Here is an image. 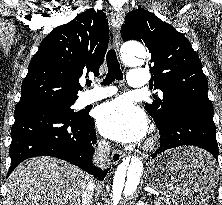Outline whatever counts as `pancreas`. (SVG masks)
I'll use <instances>...</instances> for the list:
<instances>
[{"label":"pancreas","mask_w":222,"mask_h":205,"mask_svg":"<svg viewBox=\"0 0 222 205\" xmlns=\"http://www.w3.org/2000/svg\"><path fill=\"white\" fill-rule=\"evenodd\" d=\"M155 205H171V203L163 197H157L154 200Z\"/></svg>","instance_id":"cf45deb5"}]
</instances>
